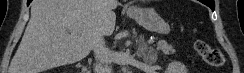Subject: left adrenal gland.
<instances>
[{"label": "left adrenal gland", "mask_w": 244, "mask_h": 73, "mask_svg": "<svg viewBox=\"0 0 244 73\" xmlns=\"http://www.w3.org/2000/svg\"><path fill=\"white\" fill-rule=\"evenodd\" d=\"M151 48L148 47L147 43L145 42V40L141 37L139 39V42H138V49H137V56L139 58H142L145 53L150 50Z\"/></svg>", "instance_id": "left-adrenal-gland-1"}]
</instances>
